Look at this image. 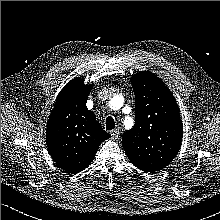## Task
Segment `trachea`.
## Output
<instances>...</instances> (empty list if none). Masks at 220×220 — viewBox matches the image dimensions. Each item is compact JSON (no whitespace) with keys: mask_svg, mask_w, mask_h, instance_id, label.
Wrapping results in <instances>:
<instances>
[{"mask_svg":"<svg viewBox=\"0 0 220 220\" xmlns=\"http://www.w3.org/2000/svg\"><path fill=\"white\" fill-rule=\"evenodd\" d=\"M115 128V121L113 117L108 116L106 119V130H112Z\"/></svg>","mask_w":220,"mask_h":220,"instance_id":"1","label":"trachea"}]
</instances>
